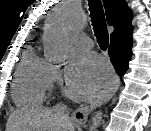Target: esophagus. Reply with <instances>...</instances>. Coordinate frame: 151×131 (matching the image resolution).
I'll return each mask as SVG.
<instances>
[{
	"label": "esophagus",
	"instance_id": "obj_1",
	"mask_svg": "<svg viewBox=\"0 0 151 131\" xmlns=\"http://www.w3.org/2000/svg\"><path fill=\"white\" fill-rule=\"evenodd\" d=\"M118 86H119V77L117 75H114L108 88L101 96H99L89 106L80 107L74 112L73 114L74 120L79 124L85 123L91 111H93L96 107L107 103L117 91Z\"/></svg>",
	"mask_w": 151,
	"mask_h": 131
}]
</instances>
